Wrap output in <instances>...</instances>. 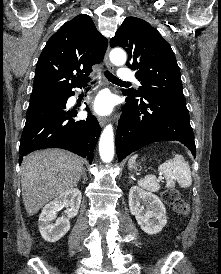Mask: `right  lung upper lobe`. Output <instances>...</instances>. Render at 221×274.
Masks as SVG:
<instances>
[{
    "label": "right lung upper lobe",
    "instance_id": "cb5924a9",
    "mask_svg": "<svg viewBox=\"0 0 221 274\" xmlns=\"http://www.w3.org/2000/svg\"><path fill=\"white\" fill-rule=\"evenodd\" d=\"M107 45L88 15L66 22L48 40L38 59L30 101L65 95L84 85L92 66L103 60Z\"/></svg>",
    "mask_w": 221,
    "mask_h": 274
}]
</instances>
